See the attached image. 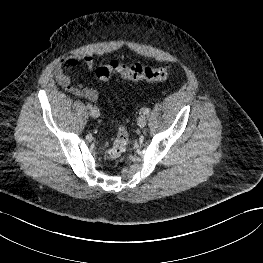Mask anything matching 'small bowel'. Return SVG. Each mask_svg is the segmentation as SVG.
Listing matches in <instances>:
<instances>
[{
    "label": "small bowel",
    "instance_id": "small-bowel-1",
    "mask_svg": "<svg viewBox=\"0 0 263 263\" xmlns=\"http://www.w3.org/2000/svg\"><path fill=\"white\" fill-rule=\"evenodd\" d=\"M81 65H85L88 69L93 70L95 68L94 58L90 55H84L62 59L55 68V78L58 84L71 94L95 101L98 98V91L95 88L76 84L71 80L70 71Z\"/></svg>",
    "mask_w": 263,
    "mask_h": 263
}]
</instances>
